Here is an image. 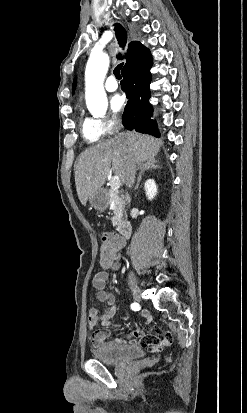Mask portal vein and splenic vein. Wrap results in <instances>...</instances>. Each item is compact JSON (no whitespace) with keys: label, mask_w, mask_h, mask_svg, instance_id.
<instances>
[{"label":"portal vein and splenic vein","mask_w":247,"mask_h":413,"mask_svg":"<svg viewBox=\"0 0 247 413\" xmlns=\"http://www.w3.org/2000/svg\"><path fill=\"white\" fill-rule=\"evenodd\" d=\"M120 178L119 176H117V174H115V176H112L111 178V188L112 190H117L118 192V188H120Z\"/></svg>","instance_id":"18ae733b"}]
</instances>
